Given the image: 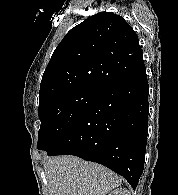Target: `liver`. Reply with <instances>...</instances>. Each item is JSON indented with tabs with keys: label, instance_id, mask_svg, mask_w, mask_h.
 Returning a JSON list of instances; mask_svg holds the SVG:
<instances>
[{
	"label": "liver",
	"instance_id": "1",
	"mask_svg": "<svg viewBox=\"0 0 178 195\" xmlns=\"http://www.w3.org/2000/svg\"><path fill=\"white\" fill-rule=\"evenodd\" d=\"M44 169L49 195H107L122 183L106 167L75 156L47 158Z\"/></svg>",
	"mask_w": 178,
	"mask_h": 195
}]
</instances>
